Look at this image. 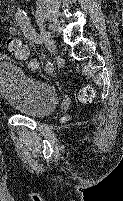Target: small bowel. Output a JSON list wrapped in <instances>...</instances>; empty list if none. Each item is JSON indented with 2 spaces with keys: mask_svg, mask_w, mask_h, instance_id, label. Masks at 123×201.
Segmentation results:
<instances>
[{
  "mask_svg": "<svg viewBox=\"0 0 123 201\" xmlns=\"http://www.w3.org/2000/svg\"><path fill=\"white\" fill-rule=\"evenodd\" d=\"M8 33L10 36H16L18 34L17 26L12 24L8 28ZM0 61H12L9 56L4 53H0Z\"/></svg>",
  "mask_w": 123,
  "mask_h": 201,
  "instance_id": "c3829d8e",
  "label": "small bowel"
}]
</instances>
